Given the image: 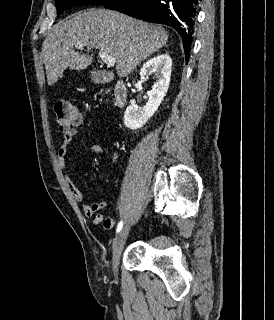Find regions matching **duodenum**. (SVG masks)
<instances>
[{
    "instance_id": "duodenum-1",
    "label": "duodenum",
    "mask_w": 274,
    "mask_h": 320,
    "mask_svg": "<svg viewBox=\"0 0 274 320\" xmlns=\"http://www.w3.org/2000/svg\"><path fill=\"white\" fill-rule=\"evenodd\" d=\"M127 91L124 83L116 85L114 101L117 106H123L126 101Z\"/></svg>"
}]
</instances>
